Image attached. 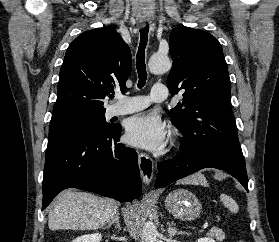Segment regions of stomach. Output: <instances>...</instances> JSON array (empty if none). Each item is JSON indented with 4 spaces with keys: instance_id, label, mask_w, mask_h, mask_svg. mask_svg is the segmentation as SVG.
<instances>
[{
    "instance_id": "obj_1",
    "label": "stomach",
    "mask_w": 279,
    "mask_h": 242,
    "mask_svg": "<svg viewBox=\"0 0 279 242\" xmlns=\"http://www.w3.org/2000/svg\"><path fill=\"white\" fill-rule=\"evenodd\" d=\"M165 206L174 217L186 221L196 219L202 209L196 195L186 189H177L169 193L165 199Z\"/></svg>"
}]
</instances>
